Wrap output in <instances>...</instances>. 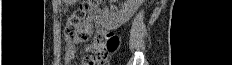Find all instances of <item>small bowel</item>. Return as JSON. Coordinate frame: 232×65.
Instances as JSON below:
<instances>
[{
    "label": "small bowel",
    "mask_w": 232,
    "mask_h": 65,
    "mask_svg": "<svg viewBox=\"0 0 232 65\" xmlns=\"http://www.w3.org/2000/svg\"><path fill=\"white\" fill-rule=\"evenodd\" d=\"M96 30L99 35L105 34L99 21V12L94 11L88 18L85 19L81 26L80 33L77 34L72 40L68 41L64 48V63L66 65H71L76 54V44L83 40L84 35L91 33ZM81 65H101V62H90L88 59L83 61Z\"/></svg>",
    "instance_id": "1"
}]
</instances>
